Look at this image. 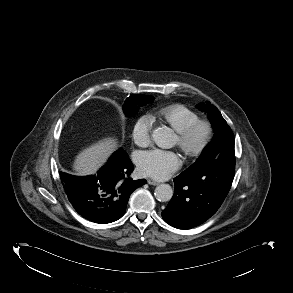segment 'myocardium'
<instances>
[{
    "label": "myocardium",
    "mask_w": 293,
    "mask_h": 293,
    "mask_svg": "<svg viewBox=\"0 0 293 293\" xmlns=\"http://www.w3.org/2000/svg\"><path fill=\"white\" fill-rule=\"evenodd\" d=\"M199 132H202V136L199 140H195ZM212 138L213 126L203 119H198L177 133L178 146L188 157L199 156L209 146Z\"/></svg>",
    "instance_id": "myocardium-1"
}]
</instances>
